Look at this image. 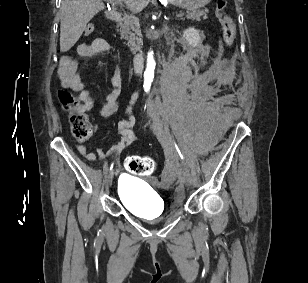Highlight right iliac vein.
<instances>
[{
  "mask_svg": "<svg viewBox=\"0 0 308 283\" xmlns=\"http://www.w3.org/2000/svg\"><path fill=\"white\" fill-rule=\"evenodd\" d=\"M114 177V171H111L108 176V182L111 185Z\"/></svg>",
  "mask_w": 308,
  "mask_h": 283,
  "instance_id": "63e3f726",
  "label": "right iliac vein"
}]
</instances>
